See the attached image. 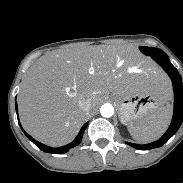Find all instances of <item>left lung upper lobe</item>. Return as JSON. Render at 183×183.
<instances>
[{
	"label": "left lung upper lobe",
	"mask_w": 183,
	"mask_h": 183,
	"mask_svg": "<svg viewBox=\"0 0 183 183\" xmlns=\"http://www.w3.org/2000/svg\"><path fill=\"white\" fill-rule=\"evenodd\" d=\"M140 50L146 54V55H152V52H155L157 53L158 50H161V49H158V48H151V47H140ZM162 51V50H161Z\"/></svg>",
	"instance_id": "left-lung-upper-lobe-1"
}]
</instances>
